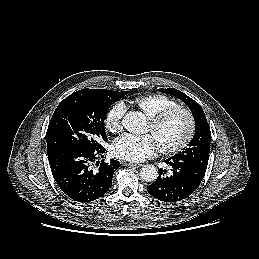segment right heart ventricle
<instances>
[{"mask_svg": "<svg viewBox=\"0 0 259 259\" xmlns=\"http://www.w3.org/2000/svg\"><path fill=\"white\" fill-rule=\"evenodd\" d=\"M133 103L148 119L166 109L178 106V103L175 100L162 94L139 96L134 99Z\"/></svg>", "mask_w": 259, "mask_h": 259, "instance_id": "obj_1", "label": "right heart ventricle"}]
</instances>
